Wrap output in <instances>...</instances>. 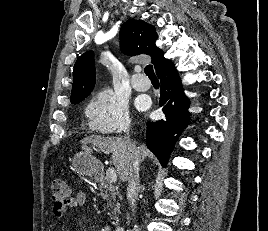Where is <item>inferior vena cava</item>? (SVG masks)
<instances>
[{
  "instance_id": "obj_1",
  "label": "inferior vena cava",
  "mask_w": 268,
  "mask_h": 231,
  "mask_svg": "<svg viewBox=\"0 0 268 231\" xmlns=\"http://www.w3.org/2000/svg\"><path fill=\"white\" fill-rule=\"evenodd\" d=\"M129 140V139H128ZM132 153V165L126 174V181L128 182L127 194L134 215L136 209V200L138 198V187H139V165L141 162V156L139 151L133 147Z\"/></svg>"
}]
</instances>
